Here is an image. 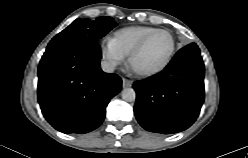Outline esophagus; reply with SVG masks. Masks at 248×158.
<instances>
[{
  "mask_svg": "<svg viewBox=\"0 0 248 158\" xmlns=\"http://www.w3.org/2000/svg\"><path fill=\"white\" fill-rule=\"evenodd\" d=\"M132 84H133V81L132 80L126 79V78H123L122 79V86H123V88L131 87Z\"/></svg>",
  "mask_w": 248,
  "mask_h": 158,
  "instance_id": "1",
  "label": "esophagus"
}]
</instances>
